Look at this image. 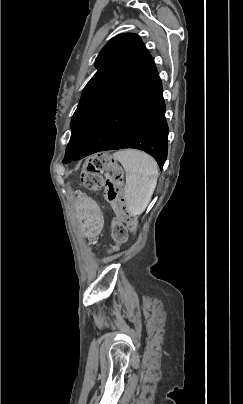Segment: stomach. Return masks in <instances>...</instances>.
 I'll return each mask as SVG.
<instances>
[{
	"label": "stomach",
	"mask_w": 243,
	"mask_h": 404,
	"mask_svg": "<svg viewBox=\"0 0 243 404\" xmlns=\"http://www.w3.org/2000/svg\"><path fill=\"white\" fill-rule=\"evenodd\" d=\"M82 229L89 235L98 234L103 227V216L98 205L89 197L80 195L76 204Z\"/></svg>",
	"instance_id": "stomach-1"
}]
</instances>
